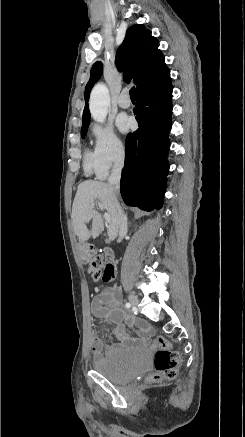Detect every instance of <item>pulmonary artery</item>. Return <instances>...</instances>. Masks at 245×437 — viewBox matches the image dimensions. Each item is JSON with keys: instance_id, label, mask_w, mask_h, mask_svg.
Listing matches in <instances>:
<instances>
[{"instance_id": "1", "label": "pulmonary artery", "mask_w": 245, "mask_h": 437, "mask_svg": "<svg viewBox=\"0 0 245 437\" xmlns=\"http://www.w3.org/2000/svg\"><path fill=\"white\" fill-rule=\"evenodd\" d=\"M117 103H118L119 107L124 108V109L130 107L131 101L128 97V90L124 89L121 92L120 96L118 97Z\"/></svg>"}]
</instances>
